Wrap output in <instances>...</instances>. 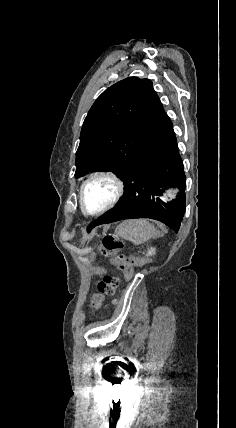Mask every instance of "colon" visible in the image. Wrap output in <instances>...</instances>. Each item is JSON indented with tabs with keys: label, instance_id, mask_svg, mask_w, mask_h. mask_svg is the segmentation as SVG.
Returning a JSON list of instances; mask_svg holds the SVG:
<instances>
[{
	"label": "colon",
	"instance_id": "5ec220e1",
	"mask_svg": "<svg viewBox=\"0 0 236 428\" xmlns=\"http://www.w3.org/2000/svg\"><path fill=\"white\" fill-rule=\"evenodd\" d=\"M123 245V242L115 236L105 235L100 244V250L103 255L112 258V263L123 273L124 278L128 280L132 277V268L127 264L123 255H118ZM119 283V277L107 274L96 283V290L100 295H112ZM96 302L97 300H95Z\"/></svg>",
	"mask_w": 236,
	"mask_h": 428
}]
</instances>
